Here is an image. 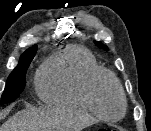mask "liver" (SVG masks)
<instances>
[{
	"label": "liver",
	"instance_id": "6515ba94",
	"mask_svg": "<svg viewBox=\"0 0 151 131\" xmlns=\"http://www.w3.org/2000/svg\"><path fill=\"white\" fill-rule=\"evenodd\" d=\"M95 122L91 116L64 108L22 110L9 118L0 131H82Z\"/></svg>",
	"mask_w": 151,
	"mask_h": 131
}]
</instances>
